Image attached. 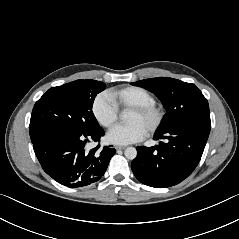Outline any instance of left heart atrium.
I'll return each instance as SVG.
<instances>
[{"instance_id":"39dd6f15","label":"left heart atrium","mask_w":239,"mask_h":239,"mask_svg":"<svg viewBox=\"0 0 239 239\" xmlns=\"http://www.w3.org/2000/svg\"><path fill=\"white\" fill-rule=\"evenodd\" d=\"M147 129L138 123H129L113 127L107 134L108 140L117 145H127L142 140Z\"/></svg>"}]
</instances>
